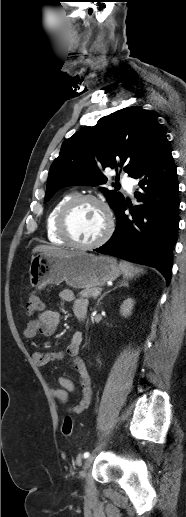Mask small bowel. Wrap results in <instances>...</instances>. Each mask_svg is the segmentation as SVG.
Here are the masks:
<instances>
[{
  "label": "small bowel",
  "instance_id": "small-bowel-1",
  "mask_svg": "<svg viewBox=\"0 0 186 517\" xmlns=\"http://www.w3.org/2000/svg\"><path fill=\"white\" fill-rule=\"evenodd\" d=\"M60 299L66 303H71L75 315L87 310V300L75 298L71 290H63L60 293ZM60 323V315L51 310H44L37 318L31 319L27 322L23 334L26 338H34L38 334L43 336H52L55 334ZM83 342V335L81 332H75L63 351L55 352H35L32 355L34 362L43 367L51 361L61 360L64 357H70L73 368L79 374V381L81 385V397L75 406L69 407L68 412L79 414L89 409L93 402L92 378L91 375L79 356V350ZM75 390L74 383L67 378H60L58 380V387H50L52 396L61 404L67 402L68 393Z\"/></svg>",
  "mask_w": 186,
  "mask_h": 517
}]
</instances>
